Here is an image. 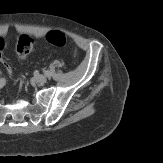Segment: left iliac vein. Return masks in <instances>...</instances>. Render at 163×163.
<instances>
[{
  "label": "left iliac vein",
  "mask_w": 163,
  "mask_h": 163,
  "mask_svg": "<svg viewBox=\"0 0 163 163\" xmlns=\"http://www.w3.org/2000/svg\"><path fill=\"white\" fill-rule=\"evenodd\" d=\"M36 80L41 83V84H44L47 82V78L46 76L42 75V74H39L36 76Z\"/></svg>",
  "instance_id": "1"
}]
</instances>
